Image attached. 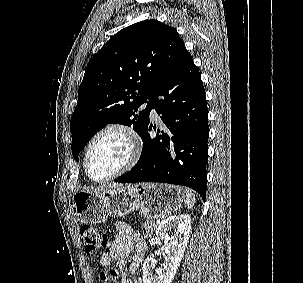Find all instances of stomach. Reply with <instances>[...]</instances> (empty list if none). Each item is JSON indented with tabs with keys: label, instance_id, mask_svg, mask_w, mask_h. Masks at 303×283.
<instances>
[{
	"label": "stomach",
	"instance_id": "1",
	"mask_svg": "<svg viewBox=\"0 0 303 283\" xmlns=\"http://www.w3.org/2000/svg\"><path fill=\"white\" fill-rule=\"evenodd\" d=\"M184 200L180 187L142 183L113 187L100 193L79 191L73 196V206L80 222L99 224L108 216L125 217L133 211L147 219H161L179 210Z\"/></svg>",
	"mask_w": 303,
	"mask_h": 283
}]
</instances>
